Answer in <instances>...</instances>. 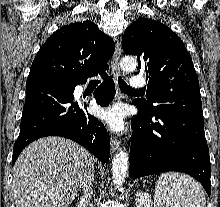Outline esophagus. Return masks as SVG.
Here are the masks:
<instances>
[{"label":"esophagus","mask_w":220,"mask_h":207,"mask_svg":"<svg viewBox=\"0 0 220 207\" xmlns=\"http://www.w3.org/2000/svg\"><path fill=\"white\" fill-rule=\"evenodd\" d=\"M121 55V44L120 42H117L115 52L113 54L112 60H111V69H112V74L114 76V79L116 80L118 75L120 74V68H119V59ZM122 98V95L120 91L117 92V100H120ZM120 142L119 140L115 137H111V149L113 152H116L119 149Z\"/></svg>","instance_id":"esophagus-1"}]
</instances>
